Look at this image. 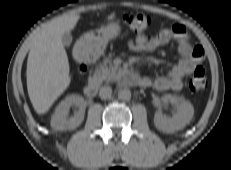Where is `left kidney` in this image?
<instances>
[{
	"label": "left kidney",
	"instance_id": "1",
	"mask_svg": "<svg viewBox=\"0 0 231 170\" xmlns=\"http://www.w3.org/2000/svg\"><path fill=\"white\" fill-rule=\"evenodd\" d=\"M162 101L175 106L178 113L172 118H166L161 112H156L154 117L156 128L166 133H173L183 129L194 115L193 105L183 97H177L170 94L164 95Z\"/></svg>",
	"mask_w": 231,
	"mask_h": 170
}]
</instances>
